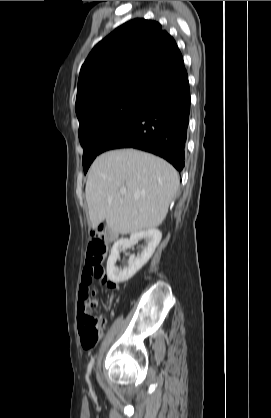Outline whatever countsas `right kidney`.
Listing matches in <instances>:
<instances>
[{
	"label": "right kidney",
	"instance_id": "obj_1",
	"mask_svg": "<svg viewBox=\"0 0 271 418\" xmlns=\"http://www.w3.org/2000/svg\"><path fill=\"white\" fill-rule=\"evenodd\" d=\"M161 238L162 233L158 229L153 228L132 233L129 239L116 241L107 260L108 278L114 283L125 282L132 278L151 258ZM141 239L147 242V246L143 248L141 254L138 256L131 255L128 261V267L118 268L116 262L120 251L131 247Z\"/></svg>",
	"mask_w": 271,
	"mask_h": 418
}]
</instances>
